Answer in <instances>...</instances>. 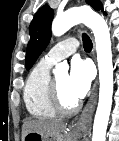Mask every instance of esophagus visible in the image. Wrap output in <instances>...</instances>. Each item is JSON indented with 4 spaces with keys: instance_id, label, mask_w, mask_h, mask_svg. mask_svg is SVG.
<instances>
[{
    "instance_id": "esophagus-1",
    "label": "esophagus",
    "mask_w": 119,
    "mask_h": 141,
    "mask_svg": "<svg viewBox=\"0 0 119 141\" xmlns=\"http://www.w3.org/2000/svg\"><path fill=\"white\" fill-rule=\"evenodd\" d=\"M92 57L95 59V49L92 50ZM97 81L94 83L89 101L81 114L73 121L72 127L75 131L87 135L91 131L92 116L97 102Z\"/></svg>"
}]
</instances>
